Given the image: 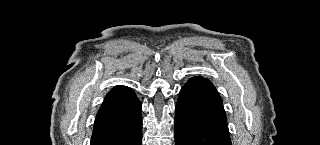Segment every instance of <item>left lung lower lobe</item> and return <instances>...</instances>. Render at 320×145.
<instances>
[{
    "instance_id": "obj_1",
    "label": "left lung lower lobe",
    "mask_w": 320,
    "mask_h": 145,
    "mask_svg": "<svg viewBox=\"0 0 320 145\" xmlns=\"http://www.w3.org/2000/svg\"><path fill=\"white\" fill-rule=\"evenodd\" d=\"M175 145H232L222 99L203 77L188 80L175 112Z\"/></svg>"
}]
</instances>
